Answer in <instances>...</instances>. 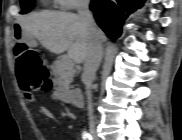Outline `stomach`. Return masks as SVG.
<instances>
[{"instance_id":"stomach-1","label":"stomach","mask_w":182,"mask_h":140,"mask_svg":"<svg viewBox=\"0 0 182 140\" xmlns=\"http://www.w3.org/2000/svg\"><path fill=\"white\" fill-rule=\"evenodd\" d=\"M10 26L13 27L14 30H25L26 26L23 25L22 22H11ZM15 41L17 44H24V41L30 46H35L36 41L32 36H28V31H15Z\"/></svg>"}]
</instances>
